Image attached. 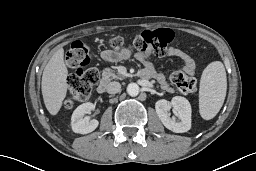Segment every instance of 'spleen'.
<instances>
[{
	"instance_id": "1",
	"label": "spleen",
	"mask_w": 256,
	"mask_h": 171,
	"mask_svg": "<svg viewBox=\"0 0 256 171\" xmlns=\"http://www.w3.org/2000/svg\"><path fill=\"white\" fill-rule=\"evenodd\" d=\"M227 90L224 65L211 62L203 71L199 88V113L204 120L213 119L220 111Z\"/></svg>"
}]
</instances>
